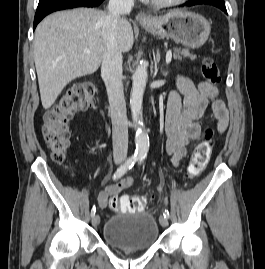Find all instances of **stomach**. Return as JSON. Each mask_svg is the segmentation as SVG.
I'll return each mask as SVG.
<instances>
[{
    "label": "stomach",
    "mask_w": 265,
    "mask_h": 269,
    "mask_svg": "<svg viewBox=\"0 0 265 269\" xmlns=\"http://www.w3.org/2000/svg\"><path fill=\"white\" fill-rule=\"evenodd\" d=\"M150 33L172 39L188 48H199L207 41L211 25L202 15L190 11L173 10L142 24Z\"/></svg>",
    "instance_id": "stomach-1"
}]
</instances>
